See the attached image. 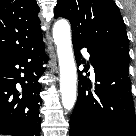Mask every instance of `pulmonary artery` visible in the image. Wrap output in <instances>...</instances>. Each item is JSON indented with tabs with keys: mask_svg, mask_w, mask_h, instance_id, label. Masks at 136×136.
I'll return each mask as SVG.
<instances>
[{
	"mask_svg": "<svg viewBox=\"0 0 136 136\" xmlns=\"http://www.w3.org/2000/svg\"><path fill=\"white\" fill-rule=\"evenodd\" d=\"M84 55L86 58H89V54L86 51H84Z\"/></svg>",
	"mask_w": 136,
	"mask_h": 136,
	"instance_id": "1",
	"label": "pulmonary artery"
}]
</instances>
